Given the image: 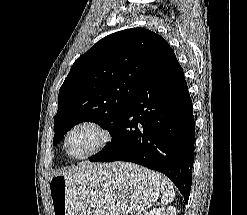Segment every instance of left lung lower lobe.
<instances>
[{"instance_id": "left-lung-lower-lobe-1", "label": "left lung lower lobe", "mask_w": 247, "mask_h": 215, "mask_svg": "<svg viewBox=\"0 0 247 215\" xmlns=\"http://www.w3.org/2000/svg\"><path fill=\"white\" fill-rule=\"evenodd\" d=\"M111 135V142L90 161H127L162 172L187 203L195 125L183 70L171 48L140 86Z\"/></svg>"}]
</instances>
